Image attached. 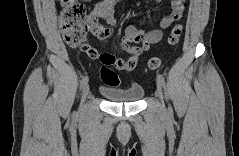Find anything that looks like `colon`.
I'll use <instances>...</instances> for the list:
<instances>
[{
    "mask_svg": "<svg viewBox=\"0 0 239 156\" xmlns=\"http://www.w3.org/2000/svg\"><path fill=\"white\" fill-rule=\"evenodd\" d=\"M61 27L65 42L73 47H80L83 52H93V48L86 41L91 29L90 18L86 7L76 0H63L61 8ZM182 35V26L176 25L168 35V44L176 45ZM161 65L159 57H153L147 62L149 70H157ZM102 81L111 86L119 85V78L108 66L100 69Z\"/></svg>",
    "mask_w": 239,
    "mask_h": 156,
    "instance_id": "obj_1",
    "label": "colon"
}]
</instances>
